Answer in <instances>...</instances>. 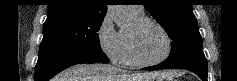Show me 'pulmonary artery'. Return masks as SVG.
<instances>
[{"mask_svg": "<svg viewBox=\"0 0 237 81\" xmlns=\"http://www.w3.org/2000/svg\"><path fill=\"white\" fill-rule=\"evenodd\" d=\"M130 13L136 14V15H143L144 10L141 6H128L127 7Z\"/></svg>", "mask_w": 237, "mask_h": 81, "instance_id": "obj_1", "label": "pulmonary artery"}]
</instances>
